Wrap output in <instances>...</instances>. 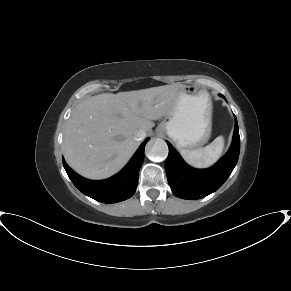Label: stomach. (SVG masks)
Listing matches in <instances>:
<instances>
[{
    "label": "stomach",
    "instance_id": "1",
    "mask_svg": "<svg viewBox=\"0 0 291 291\" xmlns=\"http://www.w3.org/2000/svg\"><path fill=\"white\" fill-rule=\"evenodd\" d=\"M212 131V101L207 90L183 86L157 132L167 134L180 149L203 146Z\"/></svg>",
    "mask_w": 291,
    "mask_h": 291
}]
</instances>
